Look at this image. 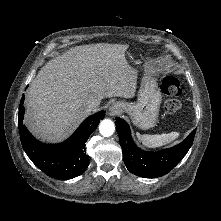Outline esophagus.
I'll return each mask as SVG.
<instances>
[{"label": "esophagus", "instance_id": "34e87169", "mask_svg": "<svg viewBox=\"0 0 221 221\" xmlns=\"http://www.w3.org/2000/svg\"><path fill=\"white\" fill-rule=\"evenodd\" d=\"M119 112H120V111H119V109H118L116 106L111 107L110 110H109V114H110V115H116V114H118Z\"/></svg>", "mask_w": 221, "mask_h": 221}]
</instances>
